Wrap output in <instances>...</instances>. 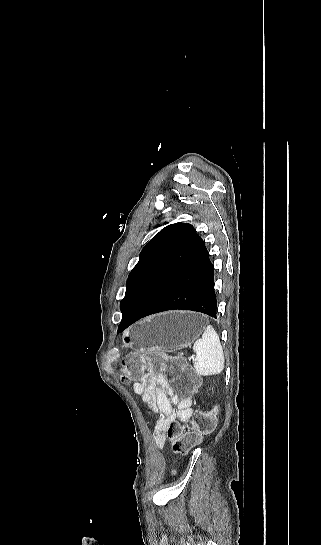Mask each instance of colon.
Wrapping results in <instances>:
<instances>
[{
  "label": "colon",
  "instance_id": "obj_1",
  "mask_svg": "<svg viewBox=\"0 0 321 545\" xmlns=\"http://www.w3.org/2000/svg\"><path fill=\"white\" fill-rule=\"evenodd\" d=\"M122 378L129 382L144 376L171 378L172 390L181 398H190L198 386V377L181 357H165L157 352L128 356L122 366ZM215 425L214 412H199L188 430L175 421L170 422L165 436L173 452L184 455L210 434Z\"/></svg>",
  "mask_w": 321,
  "mask_h": 545
}]
</instances>
